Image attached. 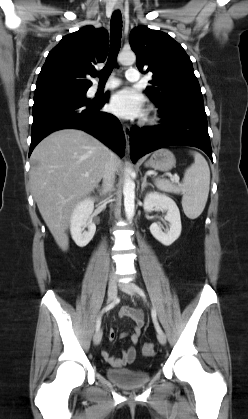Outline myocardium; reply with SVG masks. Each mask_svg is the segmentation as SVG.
Returning <instances> with one entry per match:
<instances>
[{"label": "myocardium", "instance_id": "1", "mask_svg": "<svg viewBox=\"0 0 248 419\" xmlns=\"http://www.w3.org/2000/svg\"><path fill=\"white\" fill-rule=\"evenodd\" d=\"M154 119H155V116H152V117H151V120H154Z\"/></svg>", "mask_w": 248, "mask_h": 419}]
</instances>
